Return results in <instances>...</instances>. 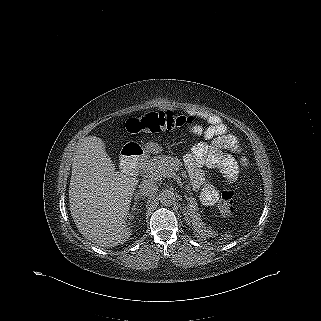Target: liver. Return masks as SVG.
<instances>
[{
  "mask_svg": "<svg viewBox=\"0 0 321 321\" xmlns=\"http://www.w3.org/2000/svg\"><path fill=\"white\" fill-rule=\"evenodd\" d=\"M138 180L115 171L99 137L88 136L77 146L69 186L71 216L79 232L105 248L125 243L128 215Z\"/></svg>",
  "mask_w": 321,
  "mask_h": 321,
  "instance_id": "obj_1",
  "label": "liver"
}]
</instances>
